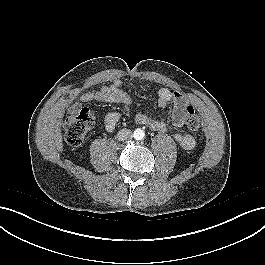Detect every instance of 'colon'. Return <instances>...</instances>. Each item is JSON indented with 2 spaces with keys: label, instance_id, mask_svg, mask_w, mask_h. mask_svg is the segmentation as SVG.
<instances>
[{
  "label": "colon",
  "instance_id": "5ec220e1",
  "mask_svg": "<svg viewBox=\"0 0 265 265\" xmlns=\"http://www.w3.org/2000/svg\"><path fill=\"white\" fill-rule=\"evenodd\" d=\"M94 122L93 112L86 108L69 115L64 122L66 141L73 146L80 145L86 133L94 126ZM186 127L193 132L200 129V116L191 106L186 108Z\"/></svg>",
  "mask_w": 265,
  "mask_h": 265
}]
</instances>
